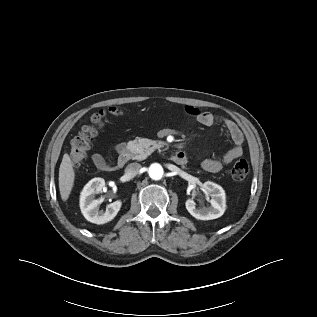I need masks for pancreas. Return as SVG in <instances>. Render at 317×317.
Here are the masks:
<instances>
[{"mask_svg":"<svg viewBox=\"0 0 317 317\" xmlns=\"http://www.w3.org/2000/svg\"><path fill=\"white\" fill-rule=\"evenodd\" d=\"M160 146V142L156 143L155 141L147 138H139L138 140L129 141L127 143L129 158L133 160H144Z\"/></svg>","mask_w":317,"mask_h":317,"instance_id":"obj_1","label":"pancreas"}]
</instances>
